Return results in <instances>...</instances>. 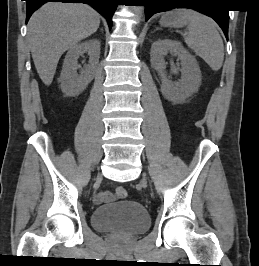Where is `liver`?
<instances>
[{"label":"liver","mask_w":259,"mask_h":266,"mask_svg":"<svg viewBox=\"0 0 259 266\" xmlns=\"http://www.w3.org/2000/svg\"><path fill=\"white\" fill-rule=\"evenodd\" d=\"M100 15L82 3L50 2L30 18L28 42L35 68L49 86L62 54L97 31Z\"/></svg>","instance_id":"1"}]
</instances>
